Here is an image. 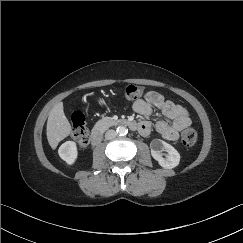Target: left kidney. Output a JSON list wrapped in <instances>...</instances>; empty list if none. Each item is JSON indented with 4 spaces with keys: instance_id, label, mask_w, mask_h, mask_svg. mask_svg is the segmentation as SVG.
I'll list each match as a JSON object with an SVG mask.
<instances>
[{
    "instance_id": "5707ae66",
    "label": "left kidney",
    "mask_w": 243,
    "mask_h": 243,
    "mask_svg": "<svg viewBox=\"0 0 243 243\" xmlns=\"http://www.w3.org/2000/svg\"><path fill=\"white\" fill-rule=\"evenodd\" d=\"M150 148L152 157L158 161L159 165L163 168L172 169L178 166L180 162V154L170 144L160 139H154L150 143ZM162 151L167 152L166 158L162 156Z\"/></svg>"
}]
</instances>
